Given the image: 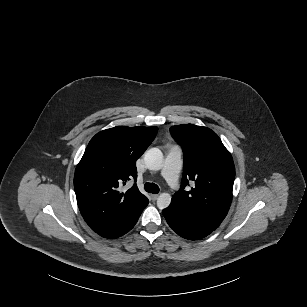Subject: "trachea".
I'll return each instance as SVG.
<instances>
[{
  "instance_id": "trachea-1",
  "label": "trachea",
  "mask_w": 307,
  "mask_h": 307,
  "mask_svg": "<svg viewBox=\"0 0 307 307\" xmlns=\"http://www.w3.org/2000/svg\"><path fill=\"white\" fill-rule=\"evenodd\" d=\"M144 189L148 193L157 194L159 192V187L155 183H149V182L145 183Z\"/></svg>"
}]
</instances>
